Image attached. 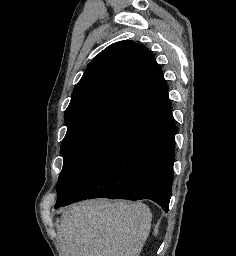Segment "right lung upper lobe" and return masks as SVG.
I'll use <instances>...</instances> for the list:
<instances>
[{
    "label": "right lung upper lobe",
    "instance_id": "cb5924a9",
    "mask_svg": "<svg viewBox=\"0 0 236 256\" xmlns=\"http://www.w3.org/2000/svg\"><path fill=\"white\" fill-rule=\"evenodd\" d=\"M115 112L147 123L170 112L166 82L154 55L133 41L112 44L91 61L73 90L64 119L69 128Z\"/></svg>",
    "mask_w": 236,
    "mask_h": 256
}]
</instances>
